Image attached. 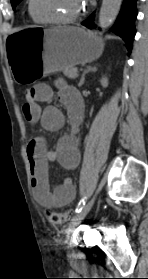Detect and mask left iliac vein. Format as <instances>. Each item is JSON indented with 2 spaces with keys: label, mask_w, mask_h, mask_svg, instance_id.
Here are the masks:
<instances>
[{
  "label": "left iliac vein",
  "mask_w": 148,
  "mask_h": 279,
  "mask_svg": "<svg viewBox=\"0 0 148 279\" xmlns=\"http://www.w3.org/2000/svg\"><path fill=\"white\" fill-rule=\"evenodd\" d=\"M95 202V197H93L83 208L82 210L71 220L69 227L66 230V234H71L74 229L80 224V222L85 218L88 212L91 210Z\"/></svg>",
  "instance_id": "left-iliac-vein-1"
}]
</instances>
